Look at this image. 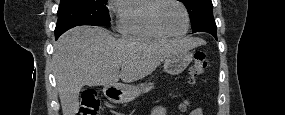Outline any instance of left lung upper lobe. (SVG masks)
<instances>
[{"label":"left lung upper lobe","mask_w":285,"mask_h":115,"mask_svg":"<svg viewBox=\"0 0 285 115\" xmlns=\"http://www.w3.org/2000/svg\"><path fill=\"white\" fill-rule=\"evenodd\" d=\"M187 8L193 32H200L209 24H214L211 0H180Z\"/></svg>","instance_id":"5c2ea615"}]
</instances>
